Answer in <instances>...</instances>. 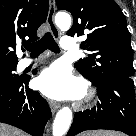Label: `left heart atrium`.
I'll return each mask as SVG.
<instances>
[{
	"label": "left heart atrium",
	"mask_w": 136,
	"mask_h": 136,
	"mask_svg": "<svg viewBox=\"0 0 136 136\" xmlns=\"http://www.w3.org/2000/svg\"><path fill=\"white\" fill-rule=\"evenodd\" d=\"M36 85L46 96L54 99L78 98L84 93V84L60 64L44 70L37 78Z\"/></svg>",
	"instance_id": "39dd6f15"
}]
</instances>
